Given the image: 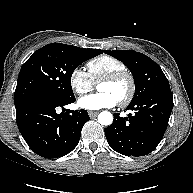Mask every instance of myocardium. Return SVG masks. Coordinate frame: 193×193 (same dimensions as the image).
I'll return each instance as SVG.
<instances>
[{
  "instance_id": "obj_1",
  "label": "myocardium",
  "mask_w": 193,
  "mask_h": 193,
  "mask_svg": "<svg viewBox=\"0 0 193 193\" xmlns=\"http://www.w3.org/2000/svg\"><path fill=\"white\" fill-rule=\"evenodd\" d=\"M126 79L129 82V91L127 95L118 102V104L122 107L127 106L130 104V102L133 100L135 93H136V81L134 76L132 75L131 72L128 70H120L113 72L105 77H103L100 81L99 84L102 82H108V83H114L118 82L120 80Z\"/></svg>"
}]
</instances>
